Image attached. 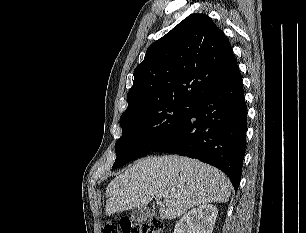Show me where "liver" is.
Here are the masks:
<instances>
[{
  "label": "liver",
  "mask_w": 306,
  "mask_h": 233,
  "mask_svg": "<svg viewBox=\"0 0 306 233\" xmlns=\"http://www.w3.org/2000/svg\"><path fill=\"white\" fill-rule=\"evenodd\" d=\"M231 191L225 174L208 164L177 155L147 157L110 182L105 211L110 216L145 207L160 196L165 199L160 217L174 219L194 206L225 203Z\"/></svg>",
  "instance_id": "liver-1"
}]
</instances>
